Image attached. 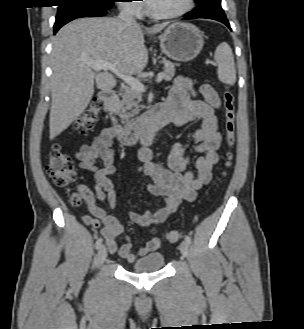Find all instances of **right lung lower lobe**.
<instances>
[{
  "instance_id": "98d812e1",
  "label": "right lung lower lobe",
  "mask_w": 304,
  "mask_h": 329,
  "mask_svg": "<svg viewBox=\"0 0 304 329\" xmlns=\"http://www.w3.org/2000/svg\"><path fill=\"white\" fill-rule=\"evenodd\" d=\"M107 13L106 9H96V8H82L66 12L60 16L56 17V22L54 24V34L66 23L81 17H96L104 16Z\"/></svg>"
}]
</instances>
